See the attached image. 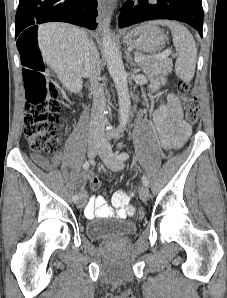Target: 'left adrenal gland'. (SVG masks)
I'll list each match as a JSON object with an SVG mask.
<instances>
[{"label": "left adrenal gland", "instance_id": "a2214340", "mask_svg": "<svg viewBox=\"0 0 227 298\" xmlns=\"http://www.w3.org/2000/svg\"><path fill=\"white\" fill-rule=\"evenodd\" d=\"M126 56H127V60L130 63V65L136 67L137 66L136 63L133 62L132 56L128 52H126Z\"/></svg>", "mask_w": 227, "mask_h": 298}]
</instances>
